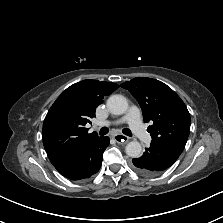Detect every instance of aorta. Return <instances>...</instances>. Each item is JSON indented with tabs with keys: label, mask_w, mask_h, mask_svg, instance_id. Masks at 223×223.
I'll list each match as a JSON object with an SVG mask.
<instances>
[{
	"label": "aorta",
	"mask_w": 223,
	"mask_h": 223,
	"mask_svg": "<svg viewBox=\"0 0 223 223\" xmlns=\"http://www.w3.org/2000/svg\"><path fill=\"white\" fill-rule=\"evenodd\" d=\"M108 110L115 115H122L128 109L127 99L119 94L112 95L107 100ZM126 154L132 158H139L142 155V146L141 144L134 140L127 144Z\"/></svg>",
	"instance_id": "762f6f07"
}]
</instances>
